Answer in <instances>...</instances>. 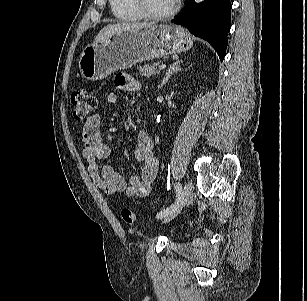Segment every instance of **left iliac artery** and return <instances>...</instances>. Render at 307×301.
<instances>
[{
	"instance_id": "left-iliac-artery-1",
	"label": "left iliac artery",
	"mask_w": 307,
	"mask_h": 301,
	"mask_svg": "<svg viewBox=\"0 0 307 301\" xmlns=\"http://www.w3.org/2000/svg\"><path fill=\"white\" fill-rule=\"evenodd\" d=\"M174 187H175L177 199H176L175 203L172 206H170L169 208H167V209L157 213L156 217L158 219L165 217L166 215H168L169 213H171L172 211H174L177 208V206H178V204H179V202L181 200V197H182V186H181V184L179 182H176Z\"/></svg>"
}]
</instances>
